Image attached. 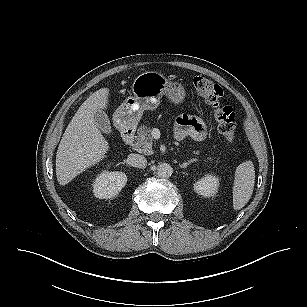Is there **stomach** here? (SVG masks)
Here are the masks:
<instances>
[{
	"label": "stomach",
	"mask_w": 307,
	"mask_h": 307,
	"mask_svg": "<svg viewBox=\"0 0 307 307\" xmlns=\"http://www.w3.org/2000/svg\"><path fill=\"white\" fill-rule=\"evenodd\" d=\"M131 88L133 96L127 97L113 114L118 129L136 127L144 110L156 109L163 95L175 105L183 103L186 97V90L181 83L169 81L155 71L137 76Z\"/></svg>",
	"instance_id": "stomach-1"
}]
</instances>
